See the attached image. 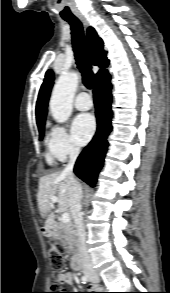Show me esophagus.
<instances>
[{
	"label": "esophagus",
	"instance_id": "esophagus-1",
	"mask_svg": "<svg viewBox=\"0 0 170 293\" xmlns=\"http://www.w3.org/2000/svg\"><path fill=\"white\" fill-rule=\"evenodd\" d=\"M78 18L82 21V23H83L86 27L88 26L87 20L85 19L84 16L80 15V16H78Z\"/></svg>",
	"mask_w": 170,
	"mask_h": 293
}]
</instances>
